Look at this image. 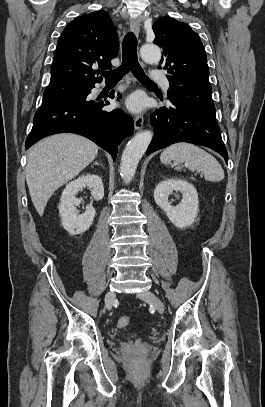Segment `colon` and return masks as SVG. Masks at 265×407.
I'll list each match as a JSON object with an SVG mask.
<instances>
[{"label":"colon","mask_w":265,"mask_h":407,"mask_svg":"<svg viewBox=\"0 0 265 407\" xmlns=\"http://www.w3.org/2000/svg\"><path fill=\"white\" fill-rule=\"evenodd\" d=\"M130 324V318L126 315L120 316L117 320V327L121 330H125Z\"/></svg>","instance_id":"colon-1"}]
</instances>
